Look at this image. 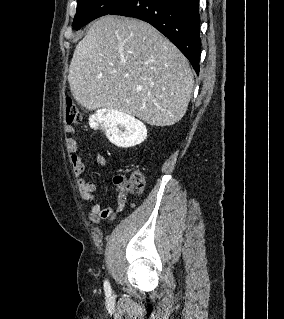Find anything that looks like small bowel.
I'll list each match as a JSON object with an SVG mask.
<instances>
[{
  "mask_svg": "<svg viewBox=\"0 0 284 319\" xmlns=\"http://www.w3.org/2000/svg\"><path fill=\"white\" fill-rule=\"evenodd\" d=\"M66 133L69 135H74L75 129L72 126H67ZM66 149L69 153V160L72 166L73 174L76 178V185L79 190L80 197L83 201L90 205V211L88 213L89 220L93 224H98L102 219H115L117 215L123 211L126 205V195L121 192L118 194L116 209H113L110 206L101 207V205L95 199V183L92 181H87L81 177L85 166L78 155L79 144L77 140L73 137L68 138L66 141ZM96 162L101 167L106 166V160L101 154L96 156Z\"/></svg>",
  "mask_w": 284,
  "mask_h": 319,
  "instance_id": "small-bowel-1",
  "label": "small bowel"
}]
</instances>
